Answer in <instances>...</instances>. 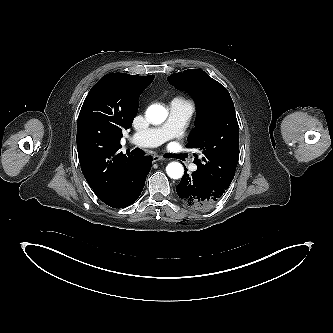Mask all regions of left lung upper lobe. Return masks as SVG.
I'll return each instance as SVG.
<instances>
[{
    "label": "left lung upper lobe",
    "instance_id": "5c2ea615",
    "mask_svg": "<svg viewBox=\"0 0 333 333\" xmlns=\"http://www.w3.org/2000/svg\"><path fill=\"white\" fill-rule=\"evenodd\" d=\"M168 81L197 101L196 129L189 134L186 144L203 156L199 160L194 154L197 171L227 189L239 159V126L229 92L198 69L172 74Z\"/></svg>",
    "mask_w": 333,
    "mask_h": 333
}]
</instances>
